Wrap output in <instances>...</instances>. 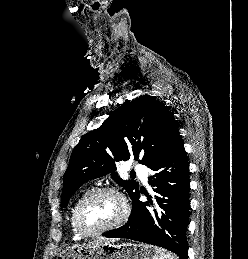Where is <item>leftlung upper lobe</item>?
<instances>
[{"instance_id":"obj_1","label":"left lung upper lobe","mask_w":248,"mask_h":259,"mask_svg":"<svg viewBox=\"0 0 248 259\" xmlns=\"http://www.w3.org/2000/svg\"><path fill=\"white\" fill-rule=\"evenodd\" d=\"M180 141L177 122L162 102L147 95L127 101L74 148L64 174L61 207L86 181L109 173L132 198L139 185L122 180L115 173L116 162L132 158L151 168Z\"/></svg>"}]
</instances>
